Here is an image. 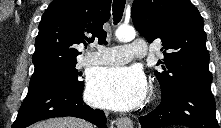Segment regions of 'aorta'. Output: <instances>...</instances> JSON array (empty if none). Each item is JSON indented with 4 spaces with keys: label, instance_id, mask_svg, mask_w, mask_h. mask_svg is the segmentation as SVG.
I'll return each mask as SVG.
<instances>
[{
    "label": "aorta",
    "instance_id": "obj_1",
    "mask_svg": "<svg viewBox=\"0 0 221 128\" xmlns=\"http://www.w3.org/2000/svg\"><path fill=\"white\" fill-rule=\"evenodd\" d=\"M115 36L119 41L129 42L135 39L136 32L133 27L129 26H120L115 32Z\"/></svg>",
    "mask_w": 221,
    "mask_h": 128
}]
</instances>
